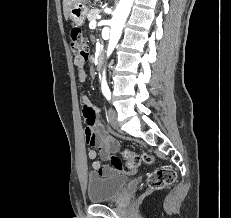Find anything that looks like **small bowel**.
Listing matches in <instances>:
<instances>
[{
    "label": "small bowel",
    "mask_w": 231,
    "mask_h": 218,
    "mask_svg": "<svg viewBox=\"0 0 231 218\" xmlns=\"http://www.w3.org/2000/svg\"><path fill=\"white\" fill-rule=\"evenodd\" d=\"M87 62V58L83 59L80 56H76L74 59L75 65L79 68L76 70V73L79 74V79L82 83L86 80L85 74L87 73V70L83 68ZM82 100L84 103L83 116L87 123V126L83 130V136L87 144L95 146L98 149V151L90 150L87 153V158L91 161L93 170L100 176H110L114 173L123 171V166L114 169L111 165L105 166L99 161V159L112 161L116 158L113 157V153L117 149V144L111 137L106 135L102 125L95 122L96 114L100 112V109L93 106L85 94H83ZM133 172V170L130 171V173Z\"/></svg>",
    "instance_id": "obj_1"
}]
</instances>
